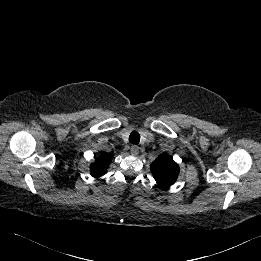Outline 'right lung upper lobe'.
I'll return each instance as SVG.
<instances>
[{
  "instance_id": "obj_1",
  "label": "right lung upper lobe",
  "mask_w": 261,
  "mask_h": 261,
  "mask_svg": "<svg viewBox=\"0 0 261 261\" xmlns=\"http://www.w3.org/2000/svg\"><path fill=\"white\" fill-rule=\"evenodd\" d=\"M112 160V155L103 153L95 159V163L91 165L90 172L93 177H99L106 173V169Z\"/></svg>"
}]
</instances>
